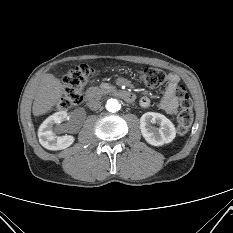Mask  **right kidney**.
Masks as SVG:
<instances>
[{
	"mask_svg": "<svg viewBox=\"0 0 233 233\" xmlns=\"http://www.w3.org/2000/svg\"><path fill=\"white\" fill-rule=\"evenodd\" d=\"M68 119L65 111H59L49 116L39 127L38 137L40 144L48 150H62L74 142L72 135L57 136L65 131V128L58 126ZM56 125V126H54Z\"/></svg>",
	"mask_w": 233,
	"mask_h": 233,
	"instance_id": "right-kidney-1",
	"label": "right kidney"
}]
</instances>
